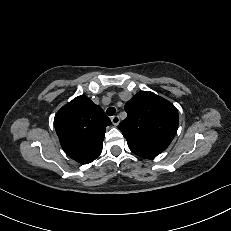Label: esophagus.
I'll list each match as a JSON object with an SVG mask.
<instances>
[{
  "label": "esophagus",
  "mask_w": 231,
  "mask_h": 231,
  "mask_svg": "<svg viewBox=\"0 0 231 231\" xmlns=\"http://www.w3.org/2000/svg\"><path fill=\"white\" fill-rule=\"evenodd\" d=\"M111 122L114 126H117L120 122L119 116L115 115V116L111 117Z\"/></svg>",
  "instance_id": "34e87169"
}]
</instances>
